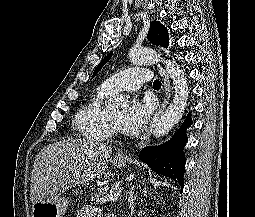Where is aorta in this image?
<instances>
[{"label":"aorta","mask_w":255,"mask_h":217,"mask_svg":"<svg viewBox=\"0 0 255 217\" xmlns=\"http://www.w3.org/2000/svg\"><path fill=\"white\" fill-rule=\"evenodd\" d=\"M129 58L134 64H153L157 61L165 64L166 71L173 82L175 95L165 112L152 125V133L155 137L164 136L179 122L186 108L189 95L186 76L175 61H164L153 49L133 48L129 52ZM126 107H128V102L122 96L111 98L106 104L109 110Z\"/></svg>","instance_id":"obj_1"}]
</instances>
